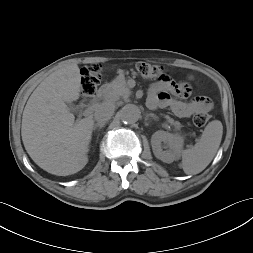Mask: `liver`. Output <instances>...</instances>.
Listing matches in <instances>:
<instances>
[{
  "mask_svg": "<svg viewBox=\"0 0 253 253\" xmlns=\"http://www.w3.org/2000/svg\"><path fill=\"white\" fill-rule=\"evenodd\" d=\"M81 74L68 64L42 81L23 111L21 136L31 159L48 173L67 176L82 170L94 127L93 116L75 121L66 103L80 97Z\"/></svg>",
  "mask_w": 253,
  "mask_h": 253,
  "instance_id": "obj_1",
  "label": "liver"
}]
</instances>
